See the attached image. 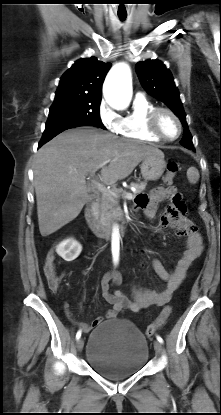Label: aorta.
<instances>
[{"label": "aorta", "mask_w": 221, "mask_h": 415, "mask_svg": "<svg viewBox=\"0 0 221 415\" xmlns=\"http://www.w3.org/2000/svg\"><path fill=\"white\" fill-rule=\"evenodd\" d=\"M103 95L106 102L114 109H126L132 99V76L126 63H119L109 71L104 85ZM112 255L116 261L120 250V235L118 225L113 227L111 236Z\"/></svg>", "instance_id": "obj_1"}]
</instances>
